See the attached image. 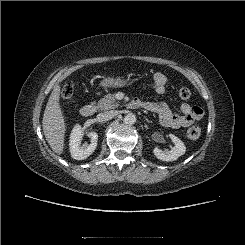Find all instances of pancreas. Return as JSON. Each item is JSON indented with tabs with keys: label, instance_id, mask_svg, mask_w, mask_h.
Returning <instances> with one entry per match:
<instances>
[{
	"label": "pancreas",
	"instance_id": "1",
	"mask_svg": "<svg viewBox=\"0 0 245 245\" xmlns=\"http://www.w3.org/2000/svg\"><path fill=\"white\" fill-rule=\"evenodd\" d=\"M119 105V101L116 99L114 94H107L97 102V108L102 111L115 109Z\"/></svg>",
	"mask_w": 245,
	"mask_h": 245
}]
</instances>
